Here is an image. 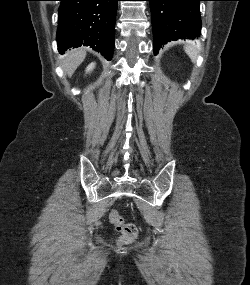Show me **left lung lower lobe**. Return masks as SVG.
I'll list each match as a JSON object with an SVG mask.
<instances>
[{
	"label": "left lung lower lobe",
	"mask_w": 250,
	"mask_h": 285,
	"mask_svg": "<svg viewBox=\"0 0 250 285\" xmlns=\"http://www.w3.org/2000/svg\"><path fill=\"white\" fill-rule=\"evenodd\" d=\"M147 1L151 8L155 55L162 45L171 40L194 39L200 35L199 2L203 0Z\"/></svg>",
	"instance_id": "left-lung-lower-lobe-1"
}]
</instances>
